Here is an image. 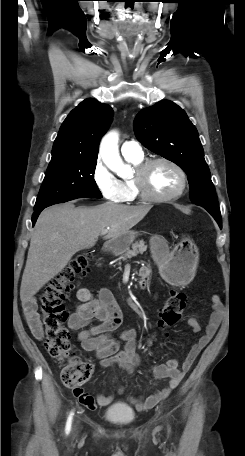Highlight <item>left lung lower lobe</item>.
<instances>
[{"mask_svg":"<svg viewBox=\"0 0 245 456\" xmlns=\"http://www.w3.org/2000/svg\"><path fill=\"white\" fill-rule=\"evenodd\" d=\"M214 219L217 221V223L219 224V226L222 227L221 218H219V217H214Z\"/></svg>","mask_w":245,"mask_h":456,"instance_id":"0a47b994","label":"left lung lower lobe"}]
</instances>
